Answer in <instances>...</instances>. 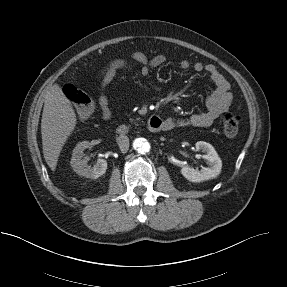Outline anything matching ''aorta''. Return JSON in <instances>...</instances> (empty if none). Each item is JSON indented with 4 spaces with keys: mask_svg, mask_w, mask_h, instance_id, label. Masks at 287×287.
<instances>
[{
    "mask_svg": "<svg viewBox=\"0 0 287 287\" xmlns=\"http://www.w3.org/2000/svg\"><path fill=\"white\" fill-rule=\"evenodd\" d=\"M133 148L140 154H145L150 151V143L145 138H136L133 141Z\"/></svg>",
    "mask_w": 287,
    "mask_h": 287,
    "instance_id": "1",
    "label": "aorta"
}]
</instances>
